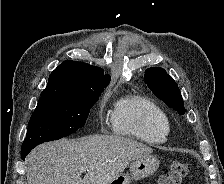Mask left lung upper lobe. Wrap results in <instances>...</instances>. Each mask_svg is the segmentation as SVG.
I'll list each match as a JSON object with an SVG mask.
<instances>
[{
    "instance_id": "obj_1",
    "label": "left lung upper lobe",
    "mask_w": 224,
    "mask_h": 184,
    "mask_svg": "<svg viewBox=\"0 0 224 184\" xmlns=\"http://www.w3.org/2000/svg\"><path fill=\"white\" fill-rule=\"evenodd\" d=\"M149 89L168 107L180 115L185 114L184 102L176 82L162 68H149L145 71Z\"/></svg>"
}]
</instances>
